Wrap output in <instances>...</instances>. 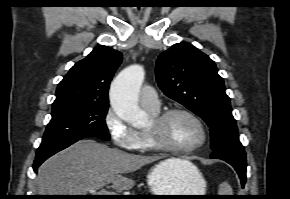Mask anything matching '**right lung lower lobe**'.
Listing matches in <instances>:
<instances>
[{
  "label": "right lung lower lobe",
  "mask_w": 290,
  "mask_h": 199,
  "mask_svg": "<svg viewBox=\"0 0 290 199\" xmlns=\"http://www.w3.org/2000/svg\"><path fill=\"white\" fill-rule=\"evenodd\" d=\"M77 142V141H75ZM65 143V144H60L56 146H51V147H46V148H38L37 153H36V158L33 164V169L36 172L38 167L50 156L54 155L55 153L67 148L71 144L75 143Z\"/></svg>",
  "instance_id": "1"
}]
</instances>
